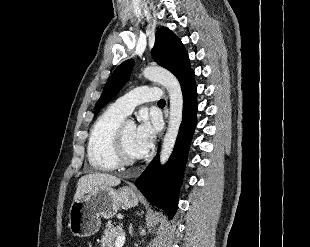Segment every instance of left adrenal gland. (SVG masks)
<instances>
[{
    "label": "left adrenal gland",
    "instance_id": "left-adrenal-gland-1",
    "mask_svg": "<svg viewBox=\"0 0 310 247\" xmlns=\"http://www.w3.org/2000/svg\"><path fill=\"white\" fill-rule=\"evenodd\" d=\"M129 233L131 234V236L133 235L132 225L129 227Z\"/></svg>",
    "mask_w": 310,
    "mask_h": 247
}]
</instances>
